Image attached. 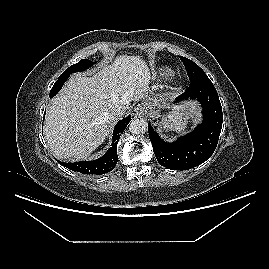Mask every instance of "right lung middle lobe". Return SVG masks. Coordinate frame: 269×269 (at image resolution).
<instances>
[{
  "mask_svg": "<svg viewBox=\"0 0 269 269\" xmlns=\"http://www.w3.org/2000/svg\"><path fill=\"white\" fill-rule=\"evenodd\" d=\"M90 66H91V61L87 59H82L80 62L74 65H71L69 68H67L65 72H63L59 77L70 76V74L72 73L85 71Z\"/></svg>",
  "mask_w": 269,
  "mask_h": 269,
  "instance_id": "1",
  "label": "right lung middle lobe"
}]
</instances>
